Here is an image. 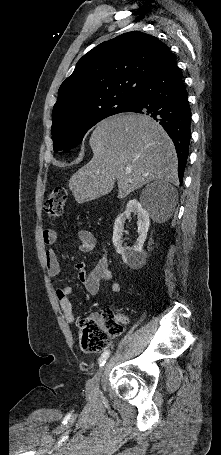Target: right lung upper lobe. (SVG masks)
Wrapping results in <instances>:
<instances>
[{
  "mask_svg": "<svg viewBox=\"0 0 221 455\" xmlns=\"http://www.w3.org/2000/svg\"><path fill=\"white\" fill-rule=\"evenodd\" d=\"M169 53L159 39L139 31L99 44L60 86L53 122L106 100H132Z\"/></svg>",
  "mask_w": 221,
  "mask_h": 455,
  "instance_id": "1",
  "label": "right lung upper lobe"
}]
</instances>
